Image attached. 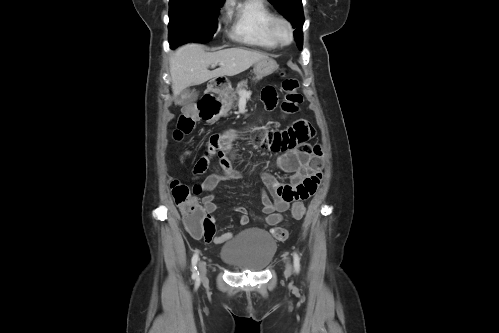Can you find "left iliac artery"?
I'll return each mask as SVG.
<instances>
[{"label":"left iliac artery","mask_w":499,"mask_h":333,"mask_svg":"<svg viewBox=\"0 0 499 333\" xmlns=\"http://www.w3.org/2000/svg\"><path fill=\"white\" fill-rule=\"evenodd\" d=\"M293 261H294V268L296 272H299L300 270V258L297 253L293 254Z\"/></svg>","instance_id":"left-iliac-artery-1"}]
</instances>
